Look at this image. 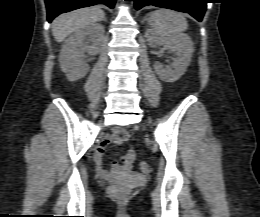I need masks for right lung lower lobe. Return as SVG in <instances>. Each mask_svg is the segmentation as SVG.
Returning <instances> with one entry per match:
<instances>
[{
	"label": "right lung lower lobe",
	"instance_id": "1",
	"mask_svg": "<svg viewBox=\"0 0 260 217\" xmlns=\"http://www.w3.org/2000/svg\"><path fill=\"white\" fill-rule=\"evenodd\" d=\"M116 0H45L47 7V20L51 22L61 13L69 12L78 8L105 4L113 8Z\"/></svg>",
	"mask_w": 260,
	"mask_h": 217
}]
</instances>
